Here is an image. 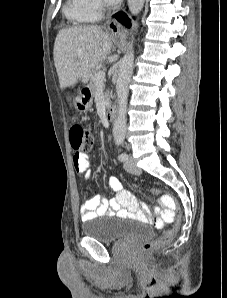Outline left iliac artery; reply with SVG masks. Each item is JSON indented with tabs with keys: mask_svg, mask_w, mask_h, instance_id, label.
Segmentation results:
<instances>
[{
	"mask_svg": "<svg viewBox=\"0 0 227 298\" xmlns=\"http://www.w3.org/2000/svg\"><path fill=\"white\" fill-rule=\"evenodd\" d=\"M116 145L117 146H120V145H122L123 144V138H116ZM118 159L120 160V161H126L127 159H128V155L124 152V153H121V154H119V156H118Z\"/></svg>",
	"mask_w": 227,
	"mask_h": 298,
	"instance_id": "44dca946",
	"label": "left iliac artery"
}]
</instances>
